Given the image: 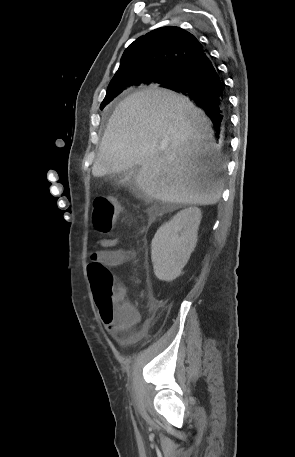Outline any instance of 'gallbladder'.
<instances>
[{
  "label": "gallbladder",
  "instance_id": "gallbladder-1",
  "mask_svg": "<svg viewBox=\"0 0 295 457\" xmlns=\"http://www.w3.org/2000/svg\"><path fill=\"white\" fill-rule=\"evenodd\" d=\"M136 171H137V167H136V166L133 167V168L131 169V173H130V176H131V177H130V179H129L128 181H126L127 184L133 183L132 174H133L134 172H136ZM112 180H113L116 184H122V182H123L124 180H126V179L124 178V175L121 173V174H115V175H113V176H112Z\"/></svg>",
  "mask_w": 295,
  "mask_h": 457
}]
</instances>
